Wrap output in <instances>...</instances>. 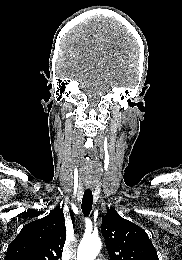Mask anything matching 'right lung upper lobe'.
Here are the masks:
<instances>
[{
  "instance_id": "cb5924a9",
  "label": "right lung upper lobe",
  "mask_w": 182,
  "mask_h": 260,
  "mask_svg": "<svg viewBox=\"0 0 182 260\" xmlns=\"http://www.w3.org/2000/svg\"><path fill=\"white\" fill-rule=\"evenodd\" d=\"M74 221V216L71 213ZM66 240L65 219L58 206L46 217L25 225L8 245L5 260H59Z\"/></svg>"
}]
</instances>
